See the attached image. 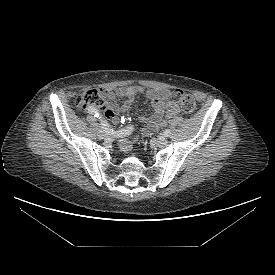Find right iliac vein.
Instances as JSON below:
<instances>
[{"mask_svg":"<svg viewBox=\"0 0 275 275\" xmlns=\"http://www.w3.org/2000/svg\"><path fill=\"white\" fill-rule=\"evenodd\" d=\"M98 137L100 139H104L105 137H107V133L102 128H100L98 131Z\"/></svg>","mask_w":275,"mask_h":275,"instance_id":"obj_1","label":"right iliac vein"}]
</instances>
